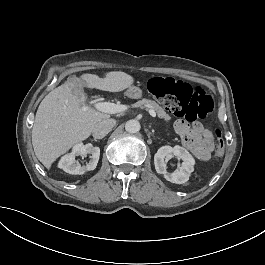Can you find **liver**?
Masks as SVG:
<instances>
[{
	"label": "liver",
	"mask_w": 265,
	"mask_h": 265,
	"mask_svg": "<svg viewBox=\"0 0 265 265\" xmlns=\"http://www.w3.org/2000/svg\"><path fill=\"white\" fill-rule=\"evenodd\" d=\"M135 78L123 71H110L100 79L82 73L68 78L48 93L38 106L32 128V146L37 159L47 168L75 144L87 140L97 123L109 114L86 109L84 88L117 93L131 88Z\"/></svg>",
	"instance_id": "1"
}]
</instances>
